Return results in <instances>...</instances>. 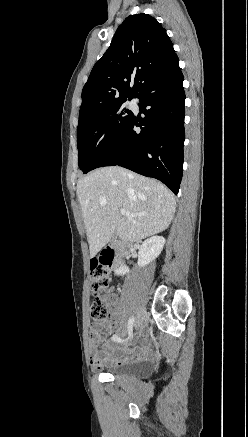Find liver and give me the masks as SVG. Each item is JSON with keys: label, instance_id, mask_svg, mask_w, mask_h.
<instances>
[{"label": "liver", "instance_id": "6515ba94", "mask_svg": "<svg viewBox=\"0 0 248 437\" xmlns=\"http://www.w3.org/2000/svg\"><path fill=\"white\" fill-rule=\"evenodd\" d=\"M77 197L91 257L115 235L132 244L164 231L176 209L165 185L118 166L99 168L79 179ZM120 209L143 215L126 217Z\"/></svg>", "mask_w": 248, "mask_h": 437}]
</instances>
